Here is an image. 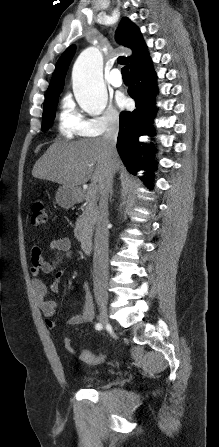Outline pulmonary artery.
<instances>
[{
    "mask_svg": "<svg viewBox=\"0 0 219 447\" xmlns=\"http://www.w3.org/2000/svg\"><path fill=\"white\" fill-rule=\"evenodd\" d=\"M107 82L113 87H121L123 84V79L121 73L118 69H112L107 75Z\"/></svg>",
    "mask_w": 219,
    "mask_h": 447,
    "instance_id": "1",
    "label": "pulmonary artery"
}]
</instances>
